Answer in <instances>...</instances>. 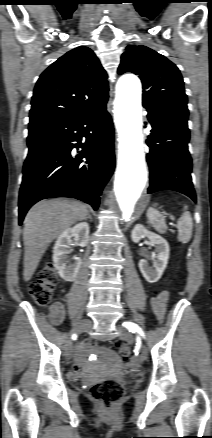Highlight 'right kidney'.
I'll return each mask as SVG.
<instances>
[{
  "label": "right kidney",
  "instance_id": "right-kidney-1",
  "mask_svg": "<svg viewBox=\"0 0 212 438\" xmlns=\"http://www.w3.org/2000/svg\"><path fill=\"white\" fill-rule=\"evenodd\" d=\"M74 237L80 246L84 247L89 241V225L86 222L76 224L72 228L64 230L57 238L53 247V262L61 278L72 282L77 277L82 261L75 257L73 263L68 260V249Z\"/></svg>",
  "mask_w": 212,
  "mask_h": 438
}]
</instances>
